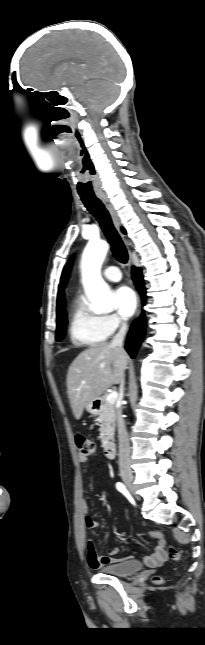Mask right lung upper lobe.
I'll list each match as a JSON object with an SVG mask.
<instances>
[{"label":"right lung upper lobe","mask_w":205,"mask_h":645,"mask_svg":"<svg viewBox=\"0 0 205 645\" xmlns=\"http://www.w3.org/2000/svg\"><path fill=\"white\" fill-rule=\"evenodd\" d=\"M123 232H125L122 229ZM65 299H64V293L62 291L61 285H59V291H58V297H57V318L61 316V314L65 311Z\"/></svg>","instance_id":"obj_1"}]
</instances>
